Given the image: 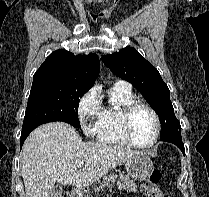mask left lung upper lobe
<instances>
[{
	"mask_svg": "<svg viewBox=\"0 0 209 197\" xmlns=\"http://www.w3.org/2000/svg\"><path fill=\"white\" fill-rule=\"evenodd\" d=\"M102 60L114 74L129 81L140 91L159 115L162 141L181 138V126L174 114L169 89L152 64L131 47L105 55Z\"/></svg>",
	"mask_w": 209,
	"mask_h": 197,
	"instance_id": "1",
	"label": "left lung upper lobe"
}]
</instances>
